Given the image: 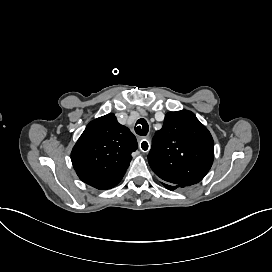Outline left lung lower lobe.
Instances as JSON below:
<instances>
[{
    "mask_svg": "<svg viewBox=\"0 0 272 272\" xmlns=\"http://www.w3.org/2000/svg\"><path fill=\"white\" fill-rule=\"evenodd\" d=\"M162 185L167 188L168 190H175L177 188H180V187H177L176 185H172V184H169V183H165V182H162Z\"/></svg>",
    "mask_w": 272,
    "mask_h": 272,
    "instance_id": "1",
    "label": "left lung lower lobe"
}]
</instances>
